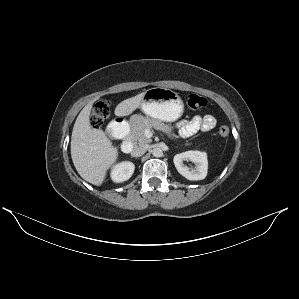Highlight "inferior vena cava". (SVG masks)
Listing matches in <instances>:
<instances>
[{"label": "inferior vena cava", "instance_id": "inferior-vena-cava-1", "mask_svg": "<svg viewBox=\"0 0 299 299\" xmlns=\"http://www.w3.org/2000/svg\"><path fill=\"white\" fill-rule=\"evenodd\" d=\"M148 150V145L146 144H139L137 146H135L132 151H131V155L133 157H140L143 154H145V152Z\"/></svg>", "mask_w": 299, "mask_h": 299}]
</instances>
